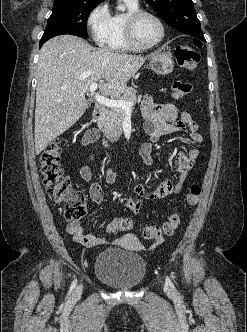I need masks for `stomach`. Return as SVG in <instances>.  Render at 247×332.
<instances>
[{"label": "stomach", "instance_id": "stomach-1", "mask_svg": "<svg viewBox=\"0 0 247 332\" xmlns=\"http://www.w3.org/2000/svg\"><path fill=\"white\" fill-rule=\"evenodd\" d=\"M150 69L160 75H167L173 71L174 61L170 53H155L150 57Z\"/></svg>", "mask_w": 247, "mask_h": 332}]
</instances>
